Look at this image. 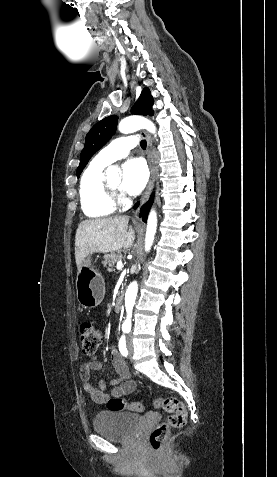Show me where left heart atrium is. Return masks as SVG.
I'll return each mask as SVG.
<instances>
[{
  "instance_id": "left-heart-atrium-1",
  "label": "left heart atrium",
  "mask_w": 277,
  "mask_h": 477,
  "mask_svg": "<svg viewBox=\"0 0 277 477\" xmlns=\"http://www.w3.org/2000/svg\"><path fill=\"white\" fill-rule=\"evenodd\" d=\"M123 180L121 188L130 195L139 194L148 181V170L142 159H131L122 167Z\"/></svg>"
}]
</instances>
